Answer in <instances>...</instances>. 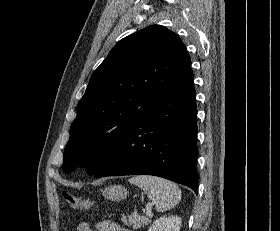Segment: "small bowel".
<instances>
[{
  "label": "small bowel",
  "instance_id": "obj_1",
  "mask_svg": "<svg viewBox=\"0 0 280 231\" xmlns=\"http://www.w3.org/2000/svg\"><path fill=\"white\" fill-rule=\"evenodd\" d=\"M98 231H124L119 225L111 221H102L97 224ZM77 231H92L88 222L83 221L77 225Z\"/></svg>",
  "mask_w": 280,
  "mask_h": 231
}]
</instances>
